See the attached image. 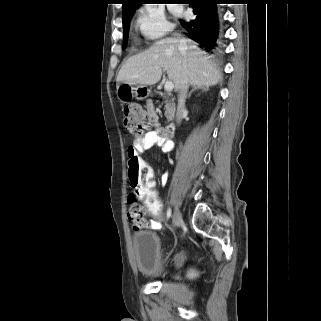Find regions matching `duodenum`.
I'll return each mask as SVG.
<instances>
[{"label":"duodenum","instance_id":"410a0bca","mask_svg":"<svg viewBox=\"0 0 321 321\" xmlns=\"http://www.w3.org/2000/svg\"><path fill=\"white\" fill-rule=\"evenodd\" d=\"M164 133L168 136H171L174 133V125L173 123H167L164 128Z\"/></svg>","mask_w":321,"mask_h":321}]
</instances>
